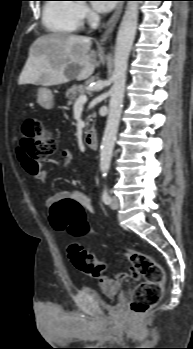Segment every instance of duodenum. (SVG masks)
<instances>
[{"label": "duodenum", "instance_id": "410a0bca", "mask_svg": "<svg viewBox=\"0 0 193 349\" xmlns=\"http://www.w3.org/2000/svg\"><path fill=\"white\" fill-rule=\"evenodd\" d=\"M85 146L90 151H95L98 147V136L94 129H88L84 138Z\"/></svg>", "mask_w": 193, "mask_h": 349}]
</instances>
